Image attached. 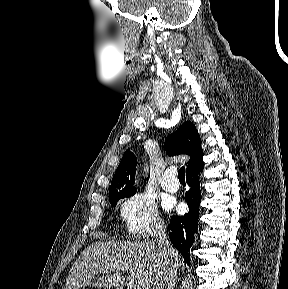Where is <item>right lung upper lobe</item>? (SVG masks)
I'll list each match as a JSON object with an SVG mask.
<instances>
[{
    "label": "right lung upper lobe",
    "mask_w": 288,
    "mask_h": 289,
    "mask_svg": "<svg viewBox=\"0 0 288 289\" xmlns=\"http://www.w3.org/2000/svg\"><path fill=\"white\" fill-rule=\"evenodd\" d=\"M166 152L169 156L187 154L190 156L186 172L202 160L203 150L201 139L196 127L189 121L183 123L181 127L165 141ZM137 158L128 149L112 178L109 192L136 189L135 182Z\"/></svg>",
    "instance_id": "1"
}]
</instances>
